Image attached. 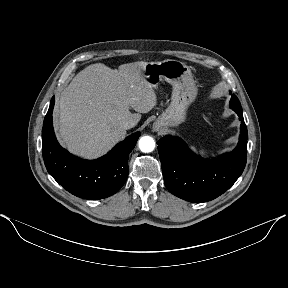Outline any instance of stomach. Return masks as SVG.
Wrapping results in <instances>:
<instances>
[{"label":"stomach","instance_id":"stomach-1","mask_svg":"<svg viewBox=\"0 0 288 288\" xmlns=\"http://www.w3.org/2000/svg\"><path fill=\"white\" fill-rule=\"evenodd\" d=\"M142 74L153 87H157L163 80L173 87L171 102L155 121L154 128L176 127L183 123L188 107L197 96V87L189 67L181 61L167 59L161 62H148Z\"/></svg>","mask_w":288,"mask_h":288}]
</instances>
